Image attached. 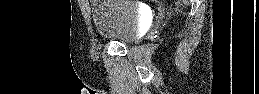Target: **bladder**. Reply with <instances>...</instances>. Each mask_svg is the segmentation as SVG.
Wrapping results in <instances>:
<instances>
[{
    "instance_id": "1",
    "label": "bladder",
    "mask_w": 259,
    "mask_h": 94,
    "mask_svg": "<svg viewBox=\"0 0 259 94\" xmlns=\"http://www.w3.org/2000/svg\"><path fill=\"white\" fill-rule=\"evenodd\" d=\"M92 17L96 32L103 38L130 43L142 34L143 17L137 4L127 1H94Z\"/></svg>"
}]
</instances>
